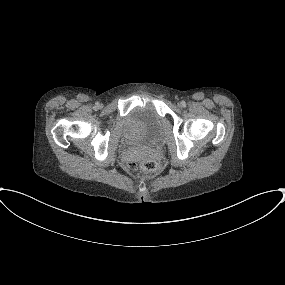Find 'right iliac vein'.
Instances as JSON below:
<instances>
[{
    "label": "right iliac vein",
    "mask_w": 285,
    "mask_h": 285,
    "mask_svg": "<svg viewBox=\"0 0 285 285\" xmlns=\"http://www.w3.org/2000/svg\"><path fill=\"white\" fill-rule=\"evenodd\" d=\"M100 107H101V104H99V103H98V105H97V107H96V108H100Z\"/></svg>",
    "instance_id": "right-iliac-vein-1"
}]
</instances>
